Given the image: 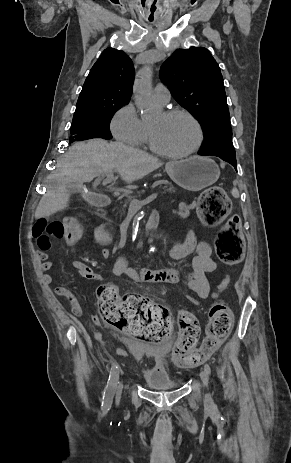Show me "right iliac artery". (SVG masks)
Here are the masks:
<instances>
[{
  "label": "right iliac artery",
  "mask_w": 291,
  "mask_h": 463,
  "mask_svg": "<svg viewBox=\"0 0 291 463\" xmlns=\"http://www.w3.org/2000/svg\"><path fill=\"white\" fill-rule=\"evenodd\" d=\"M118 379H119V369L117 365H114L110 371L109 379H108V382L105 388L103 401L101 405L103 415H105L108 412V410L111 408L114 389L117 386Z\"/></svg>",
  "instance_id": "obj_1"
}]
</instances>
